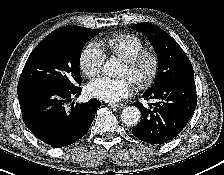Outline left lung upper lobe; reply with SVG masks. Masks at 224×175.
Here are the masks:
<instances>
[{
  "instance_id": "5c2ea615",
  "label": "left lung upper lobe",
  "mask_w": 224,
  "mask_h": 175,
  "mask_svg": "<svg viewBox=\"0 0 224 175\" xmlns=\"http://www.w3.org/2000/svg\"><path fill=\"white\" fill-rule=\"evenodd\" d=\"M131 28L141 30L150 40L158 55V74L150 89L174 79L194 78L189 58L167 32L147 22L132 25Z\"/></svg>"
}]
</instances>
